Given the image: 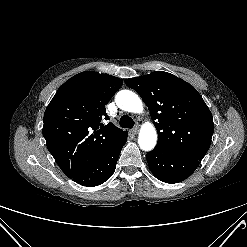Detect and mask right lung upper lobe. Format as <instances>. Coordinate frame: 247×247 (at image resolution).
<instances>
[{
	"label": "right lung upper lobe",
	"instance_id": "obj_1",
	"mask_svg": "<svg viewBox=\"0 0 247 247\" xmlns=\"http://www.w3.org/2000/svg\"><path fill=\"white\" fill-rule=\"evenodd\" d=\"M120 78L93 71L79 73L56 92L44 114L43 136L49 152L73 178L117 143L127 131L108 119L105 105L122 86Z\"/></svg>",
	"mask_w": 247,
	"mask_h": 247
}]
</instances>
